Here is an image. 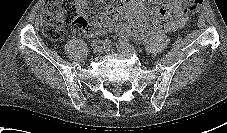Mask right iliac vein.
<instances>
[{
    "label": "right iliac vein",
    "instance_id": "63e3f726",
    "mask_svg": "<svg viewBox=\"0 0 227 133\" xmlns=\"http://www.w3.org/2000/svg\"><path fill=\"white\" fill-rule=\"evenodd\" d=\"M104 50H105V48L103 46H95L93 49V52L95 54H101Z\"/></svg>",
    "mask_w": 227,
    "mask_h": 133
}]
</instances>
